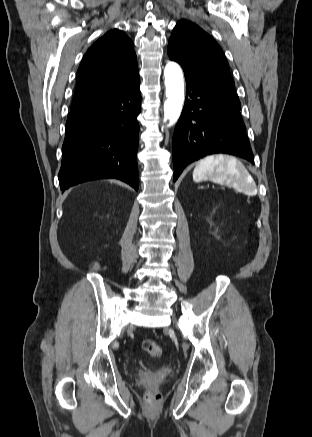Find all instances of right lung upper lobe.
Masks as SVG:
<instances>
[{"mask_svg":"<svg viewBox=\"0 0 312 437\" xmlns=\"http://www.w3.org/2000/svg\"><path fill=\"white\" fill-rule=\"evenodd\" d=\"M133 42L113 29L98 39L84 55L70 112H75L125 88L138 77Z\"/></svg>","mask_w":312,"mask_h":437,"instance_id":"1","label":"right lung upper lobe"}]
</instances>
